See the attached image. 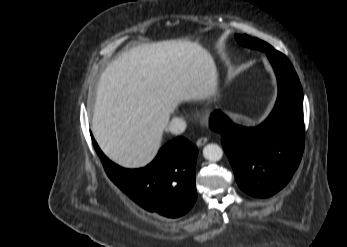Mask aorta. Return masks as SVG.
Instances as JSON below:
<instances>
[{"mask_svg":"<svg viewBox=\"0 0 347 247\" xmlns=\"http://www.w3.org/2000/svg\"><path fill=\"white\" fill-rule=\"evenodd\" d=\"M203 156L211 162H216L222 158L223 151L219 145L210 143L203 148Z\"/></svg>","mask_w":347,"mask_h":247,"instance_id":"1","label":"aorta"}]
</instances>
